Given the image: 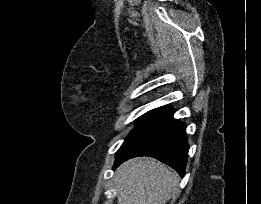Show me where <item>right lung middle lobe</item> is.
<instances>
[{
  "label": "right lung middle lobe",
  "instance_id": "right-lung-middle-lobe-1",
  "mask_svg": "<svg viewBox=\"0 0 261 204\" xmlns=\"http://www.w3.org/2000/svg\"><path fill=\"white\" fill-rule=\"evenodd\" d=\"M155 110H156V109L151 110V111H148L147 113H145V114H143L142 116H140V117L138 118V122H137L136 128H137L143 121H145Z\"/></svg>",
  "mask_w": 261,
  "mask_h": 204
}]
</instances>
